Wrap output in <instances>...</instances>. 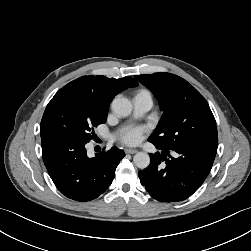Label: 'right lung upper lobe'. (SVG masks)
<instances>
[{"label": "right lung upper lobe", "mask_w": 251, "mask_h": 251, "mask_svg": "<svg viewBox=\"0 0 251 251\" xmlns=\"http://www.w3.org/2000/svg\"><path fill=\"white\" fill-rule=\"evenodd\" d=\"M138 83L131 77L83 76L63 87L89 98L100 110L108 112L109 103L121 91Z\"/></svg>", "instance_id": "right-lung-upper-lobe-1"}]
</instances>
